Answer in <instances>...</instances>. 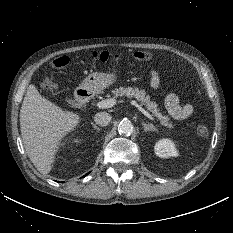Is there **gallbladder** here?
<instances>
[{
    "instance_id": "bac80fb5",
    "label": "gallbladder",
    "mask_w": 233,
    "mask_h": 233,
    "mask_svg": "<svg viewBox=\"0 0 233 233\" xmlns=\"http://www.w3.org/2000/svg\"><path fill=\"white\" fill-rule=\"evenodd\" d=\"M67 102L71 105H74L75 101L73 99H67Z\"/></svg>"
}]
</instances>
